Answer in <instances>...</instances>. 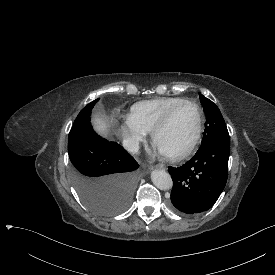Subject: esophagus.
I'll list each match as a JSON object with an SVG mask.
<instances>
[{
  "label": "esophagus",
  "mask_w": 275,
  "mask_h": 275,
  "mask_svg": "<svg viewBox=\"0 0 275 275\" xmlns=\"http://www.w3.org/2000/svg\"><path fill=\"white\" fill-rule=\"evenodd\" d=\"M152 168L165 170L166 166H165V164L159 163V164H156L155 166H153Z\"/></svg>",
  "instance_id": "34e87169"
}]
</instances>
